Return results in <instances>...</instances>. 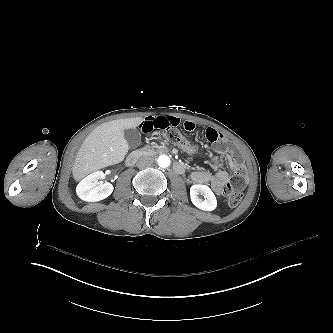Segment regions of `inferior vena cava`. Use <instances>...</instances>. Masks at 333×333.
I'll return each instance as SVG.
<instances>
[{
	"mask_svg": "<svg viewBox=\"0 0 333 333\" xmlns=\"http://www.w3.org/2000/svg\"><path fill=\"white\" fill-rule=\"evenodd\" d=\"M155 159L153 156L145 155L139 158L136 165L138 168H143L151 166L154 163Z\"/></svg>",
	"mask_w": 333,
	"mask_h": 333,
	"instance_id": "1",
	"label": "inferior vena cava"
}]
</instances>
